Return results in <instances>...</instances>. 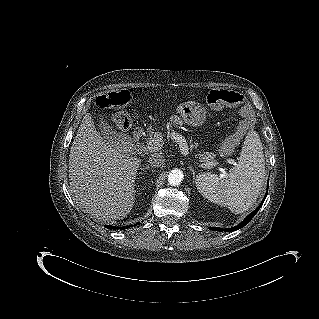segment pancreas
<instances>
[{
    "label": "pancreas",
    "mask_w": 319,
    "mask_h": 319,
    "mask_svg": "<svg viewBox=\"0 0 319 319\" xmlns=\"http://www.w3.org/2000/svg\"><path fill=\"white\" fill-rule=\"evenodd\" d=\"M147 133H148V138L146 139V143L148 145V143L153 140V138L155 137L156 134H159L162 139V133L161 132H154V129L149 127L147 129ZM162 142L163 140L159 143V145L157 146V149L160 148L162 146ZM197 143H191L190 148L192 149H196L197 150ZM195 157L199 159V161L201 163H203V165L206 168H211L216 166L217 162L215 160V154L213 152H208V151H199L197 150L195 153Z\"/></svg>",
    "instance_id": "1"
}]
</instances>
